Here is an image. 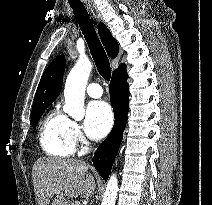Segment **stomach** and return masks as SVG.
I'll use <instances>...</instances> for the list:
<instances>
[{
  "label": "stomach",
  "instance_id": "0dacf381",
  "mask_svg": "<svg viewBox=\"0 0 212 205\" xmlns=\"http://www.w3.org/2000/svg\"><path fill=\"white\" fill-rule=\"evenodd\" d=\"M51 205H70V202L66 197L57 196L54 198Z\"/></svg>",
  "mask_w": 212,
  "mask_h": 205
}]
</instances>
